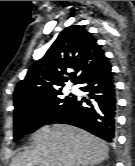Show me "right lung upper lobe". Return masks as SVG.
<instances>
[{
    "label": "right lung upper lobe",
    "mask_w": 135,
    "mask_h": 166,
    "mask_svg": "<svg viewBox=\"0 0 135 166\" xmlns=\"http://www.w3.org/2000/svg\"><path fill=\"white\" fill-rule=\"evenodd\" d=\"M107 58L96 39L83 27L72 25L62 31L46 54L28 70L14 92L15 109L42 101L61 92L59 86L77 82Z\"/></svg>",
    "instance_id": "obj_1"
}]
</instances>
